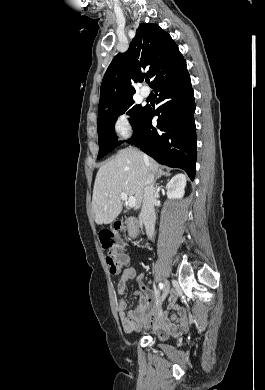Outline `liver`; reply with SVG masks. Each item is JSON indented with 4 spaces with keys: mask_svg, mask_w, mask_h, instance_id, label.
Listing matches in <instances>:
<instances>
[{
    "mask_svg": "<svg viewBox=\"0 0 265 390\" xmlns=\"http://www.w3.org/2000/svg\"><path fill=\"white\" fill-rule=\"evenodd\" d=\"M158 170V163L137 149L120 150L97 172L92 197L95 222L98 225L109 224L120 214L123 208L121 192L135 197V210L139 209L147 177Z\"/></svg>",
    "mask_w": 265,
    "mask_h": 390,
    "instance_id": "liver-1",
    "label": "liver"
}]
</instances>
